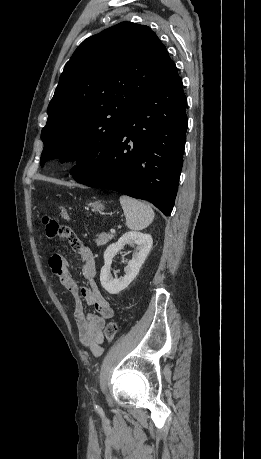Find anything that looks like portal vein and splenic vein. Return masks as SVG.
Returning <instances> with one entry per match:
<instances>
[{
	"label": "portal vein and splenic vein",
	"mask_w": 261,
	"mask_h": 459,
	"mask_svg": "<svg viewBox=\"0 0 261 459\" xmlns=\"http://www.w3.org/2000/svg\"><path fill=\"white\" fill-rule=\"evenodd\" d=\"M110 232H111L112 234H114V233H115V229H113V228L110 229Z\"/></svg>",
	"instance_id": "18ae733b"
}]
</instances>
